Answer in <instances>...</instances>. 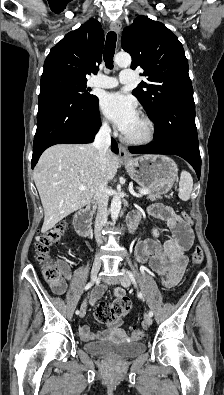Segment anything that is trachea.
Wrapping results in <instances>:
<instances>
[{"label":"trachea","instance_id":"trachea-1","mask_svg":"<svg viewBox=\"0 0 224 395\" xmlns=\"http://www.w3.org/2000/svg\"><path fill=\"white\" fill-rule=\"evenodd\" d=\"M117 35L114 31L107 34L105 49L103 53L104 62L107 68L113 69V57L115 53Z\"/></svg>","mask_w":224,"mask_h":395}]
</instances>
